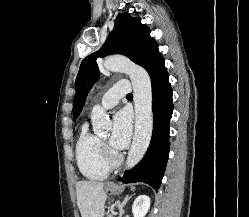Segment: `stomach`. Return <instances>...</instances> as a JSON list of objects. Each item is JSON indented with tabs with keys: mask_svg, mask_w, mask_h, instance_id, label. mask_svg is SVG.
I'll return each mask as SVG.
<instances>
[{
	"mask_svg": "<svg viewBox=\"0 0 249 217\" xmlns=\"http://www.w3.org/2000/svg\"><path fill=\"white\" fill-rule=\"evenodd\" d=\"M106 191L109 192L110 194H117L120 191V187L113 184H109L106 187Z\"/></svg>",
	"mask_w": 249,
	"mask_h": 217,
	"instance_id": "obj_1",
	"label": "stomach"
}]
</instances>
